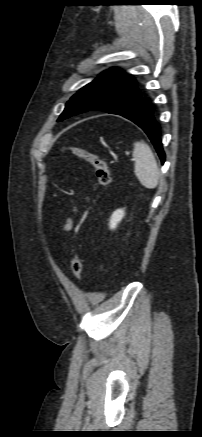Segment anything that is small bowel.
<instances>
[{
	"label": "small bowel",
	"mask_w": 202,
	"mask_h": 437,
	"mask_svg": "<svg viewBox=\"0 0 202 437\" xmlns=\"http://www.w3.org/2000/svg\"><path fill=\"white\" fill-rule=\"evenodd\" d=\"M74 211L76 212L77 210L74 209ZM72 227H73V220L71 218H68L63 226V230L70 231Z\"/></svg>",
	"instance_id": "small-bowel-1"
}]
</instances>
